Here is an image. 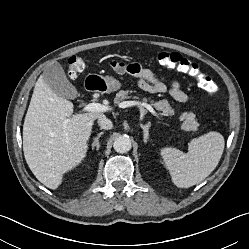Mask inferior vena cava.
<instances>
[{
	"label": "inferior vena cava",
	"mask_w": 249,
	"mask_h": 249,
	"mask_svg": "<svg viewBox=\"0 0 249 249\" xmlns=\"http://www.w3.org/2000/svg\"><path fill=\"white\" fill-rule=\"evenodd\" d=\"M98 125L105 130H109L113 127V124L111 122V120H109L108 118H106V116H102L100 118H98Z\"/></svg>",
	"instance_id": "inferior-vena-cava-1"
}]
</instances>
